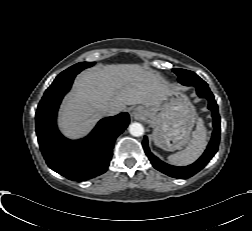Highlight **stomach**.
Here are the masks:
<instances>
[{
    "label": "stomach",
    "instance_id": "1",
    "mask_svg": "<svg viewBox=\"0 0 252 231\" xmlns=\"http://www.w3.org/2000/svg\"><path fill=\"white\" fill-rule=\"evenodd\" d=\"M142 118L152 127L154 143L167 151L181 148L195 123V108L181 93L170 95L159 106H140Z\"/></svg>",
    "mask_w": 252,
    "mask_h": 231
}]
</instances>
